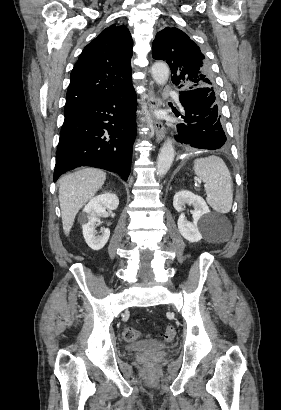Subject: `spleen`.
Returning <instances> with one entry per match:
<instances>
[{
	"label": "spleen",
	"instance_id": "1",
	"mask_svg": "<svg viewBox=\"0 0 281 410\" xmlns=\"http://www.w3.org/2000/svg\"><path fill=\"white\" fill-rule=\"evenodd\" d=\"M194 172L205 183L206 200L222 214L230 212L233 186L230 172L224 161L215 155L194 160Z\"/></svg>",
	"mask_w": 281,
	"mask_h": 410
}]
</instances>
